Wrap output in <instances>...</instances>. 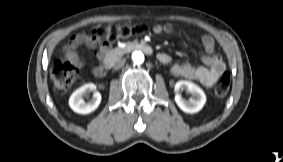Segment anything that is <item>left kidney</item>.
<instances>
[{
    "instance_id": "1",
    "label": "left kidney",
    "mask_w": 283,
    "mask_h": 162,
    "mask_svg": "<svg viewBox=\"0 0 283 162\" xmlns=\"http://www.w3.org/2000/svg\"><path fill=\"white\" fill-rule=\"evenodd\" d=\"M174 89L176 92L175 102L178 107L186 113H197L203 108L204 104L206 103V95L204 91L199 86L190 81L180 80L175 84ZM181 90H186L191 94L189 100L182 98V96L179 94V91Z\"/></svg>"
}]
</instances>
